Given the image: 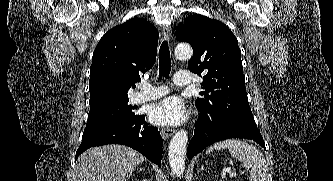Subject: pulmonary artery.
Instances as JSON below:
<instances>
[{
  "label": "pulmonary artery",
  "instance_id": "e3ab8cb5",
  "mask_svg": "<svg viewBox=\"0 0 333 181\" xmlns=\"http://www.w3.org/2000/svg\"><path fill=\"white\" fill-rule=\"evenodd\" d=\"M174 82L178 86H188L192 83V78L188 72H178L174 77ZM167 93L168 89L165 86H153L145 84L142 86V91L136 93L132 100L134 103H141L161 98Z\"/></svg>",
  "mask_w": 333,
  "mask_h": 181
}]
</instances>
